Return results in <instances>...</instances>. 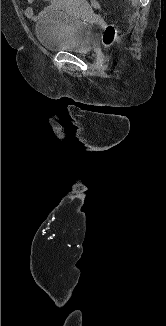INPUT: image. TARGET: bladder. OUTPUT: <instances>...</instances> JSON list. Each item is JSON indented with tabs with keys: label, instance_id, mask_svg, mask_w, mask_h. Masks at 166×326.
<instances>
[{
	"label": "bladder",
	"instance_id": "obj_1",
	"mask_svg": "<svg viewBox=\"0 0 166 326\" xmlns=\"http://www.w3.org/2000/svg\"><path fill=\"white\" fill-rule=\"evenodd\" d=\"M80 8L90 11L83 4ZM40 45L50 51H72L88 54L91 51V31L80 19L61 11L47 12L35 25Z\"/></svg>",
	"mask_w": 166,
	"mask_h": 326
}]
</instances>
